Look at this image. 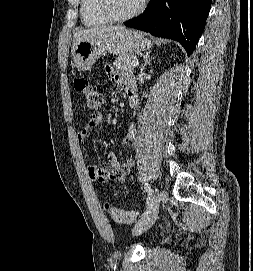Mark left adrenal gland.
I'll return each instance as SVG.
<instances>
[{
	"mask_svg": "<svg viewBox=\"0 0 253 271\" xmlns=\"http://www.w3.org/2000/svg\"><path fill=\"white\" fill-rule=\"evenodd\" d=\"M150 53H151V51L147 52L144 55V61H143L142 67H141V72H143V70L145 69V66L150 63L151 59H153V57H150Z\"/></svg>",
	"mask_w": 253,
	"mask_h": 271,
	"instance_id": "1",
	"label": "left adrenal gland"
}]
</instances>
